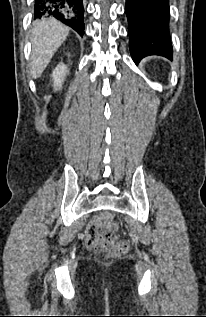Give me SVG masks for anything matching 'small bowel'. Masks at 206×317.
I'll return each mask as SVG.
<instances>
[{"label": "small bowel", "mask_w": 206, "mask_h": 317, "mask_svg": "<svg viewBox=\"0 0 206 317\" xmlns=\"http://www.w3.org/2000/svg\"><path fill=\"white\" fill-rule=\"evenodd\" d=\"M99 225V220L98 219H94L93 221H91L87 228H86V240L89 237V235L91 234V232Z\"/></svg>", "instance_id": "small-bowel-1"}]
</instances>
